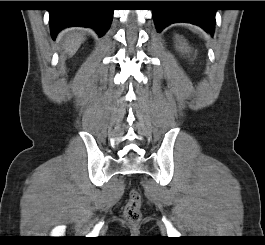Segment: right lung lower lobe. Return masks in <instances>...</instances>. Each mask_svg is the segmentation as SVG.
<instances>
[{
	"instance_id": "obj_1",
	"label": "right lung lower lobe",
	"mask_w": 265,
	"mask_h": 245,
	"mask_svg": "<svg viewBox=\"0 0 265 245\" xmlns=\"http://www.w3.org/2000/svg\"><path fill=\"white\" fill-rule=\"evenodd\" d=\"M66 8L49 10L52 38L70 26L93 28L99 36H103L112 21L113 9L109 1H68Z\"/></svg>"
}]
</instances>
